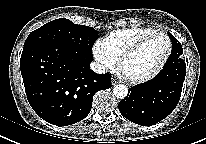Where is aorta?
Instances as JSON below:
<instances>
[{"label":"aorta","mask_w":206,"mask_h":144,"mask_svg":"<svg viewBox=\"0 0 206 144\" xmlns=\"http://www.w3.org/2000/svg\"><path fill=\"white\" fill-rule=\"evenodd\" d=\"M113 94L118 99H124L128 94V89L123 84H118L113 88Z\"/></svg>","instance_id":"1"}]
</instances>
